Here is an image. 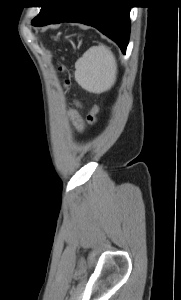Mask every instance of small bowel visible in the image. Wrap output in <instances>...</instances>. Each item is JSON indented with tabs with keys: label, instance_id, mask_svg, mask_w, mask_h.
<instances>
[{
	"label": "small bowel",
	"instance_id": "small-bowel-1",
	"mask_svg": "<svg viewBox=\"0 0 181 300\" xmlns=\"http://www.w3.org/2000/svg\"><path fill=\"white\" fill-rule=\"evenodd\" d=\"M76 118H77L78 121H80L78 116H76ZM78 127H79L80 129H83V125H82L81 123L78 124Z\"/></svg>",
	"mask_w": 181,
	"mask_h": 300
}]
</instances>
